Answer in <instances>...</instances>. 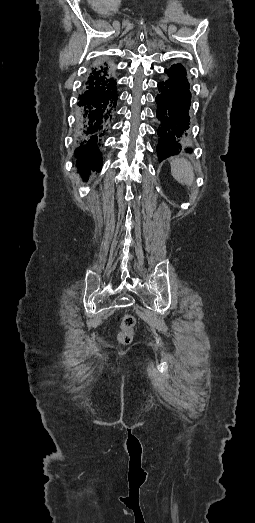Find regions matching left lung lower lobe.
Listing matches in <instances>:
<instances>
[{
    "label": "left lung lower lobe",
    "instance_id": "obj_1",
    "mask_svg": "<svg viewBox=\"0 0 255 523\" xmlns=\"http://www.w3.org/2000/svg\"><path fill=\"white\" fill-rule=\"evenodd\" d=\"M158 91L156 97L158 105L156 119L161 124L156 129L159 135V145L156 153V160L159 162L167 161V158L178 154L180 151L191 148L187 144V136L190 135L188 128L191 123L188 111L195 107L192 100L191 90L186 86L175 81L173 76H167L157 82Z\"/></svg>",
    "mask_w": 255,
    "mask_h": 523
}]
</instances>
